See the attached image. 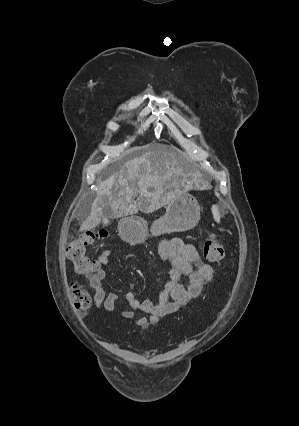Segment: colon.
Segmentation results:
<instances>
[{
  "mask_svg": "<svg viewBox=\"0 0 299 426\" xmlns=\"http://www.w3.org/2000/svg\"><path fill=\"white\" fill-rule=\"evenodd\" d=\"M107 236V231H87L75 237L68 245L67 258L73 263L75 271L80 274L91 275L98 270L97 262L87 254V248L95 241ZM204 256L211 262H218L224 258V247L214 233L207 235L204 246ZM71 297L77 310L86 313L91 305V294L83 286L73 284L71 287ZM190 298L187 284H178L168 295V302L173 305H184Z\"/></svg>",
  "mask_w": 299,
  "mask_h": 426,
  "instance_id": "obj_1",
  "label": "colon"
}]
</instances>
